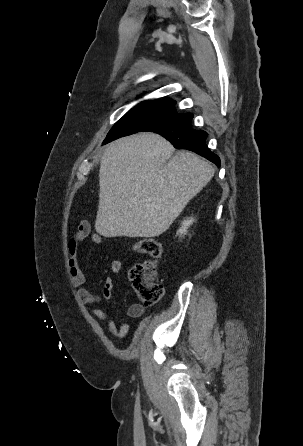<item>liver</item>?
Instances as JSON below:
<instances>
[{
	"mask_svg": "<svg viewBox=\"0 0 303 446\" xmlns=\"http://www.w3.org/2000/svg\"><path fill=\"white\" fill-rule=\"evenodd\" d=\"M173 152V146L154 133L124 137L107 146L99 169L97 233L151 238L170 227L214 175L213 167L194 153L179 151L170 159Z\"/></svg>",
	"mask_w": 303,
	"mask_h": 446,
	"instance_id": "obj_1",
	"label": "liver"
}]
</instances>
